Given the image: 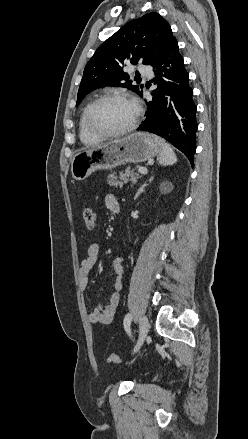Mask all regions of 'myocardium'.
<instances>
[{"mask_svg": "<svg viewBox=\"0 0 248 439\" xmlns=\"http://www.w3.org/2000/svg\"><path fill=\"white\" fill-rule=\"evenodd\" d=\"M112 99L129 101L135 107V116H134V119L132 120V122L127 127L123 128L121 130H117V131H110V130L101 129L95 124V122L93 120V114H94V111L97 108V106L100 105L104 101L112 100ZM140 115H141L140 107L129 96H127L123 93H106V94L99 96L93 102L90 103V105L88 106L87 111H86L85 119H86V126H87L88 130L91 133H93L94 135H97L100 137H113V136H123V135H126V134L132 132L133 130H135L138 123H139Z\"/></svg>", "mask_w": 248, "mask_h": 439, "instance_id": "obj_1", "label": "myocardium"}]
</instances>
